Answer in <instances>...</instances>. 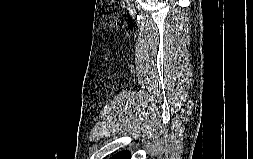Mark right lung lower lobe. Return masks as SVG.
Wrapping results in <instances>:
<instances>
[{
  "mask_svg": "<svg viewBox=\"0 0 253 159\" xmlns=\"http://www.w3.org/2000/svg\"><path fill=\"white\" fill-rule=\"evenodd\" d=\"M130 153L128 151H122L111 157L110 159H129Z\"/></svg>",
  "mask_w": 253,
  "mask_h": 159,
  "instance_id": "obj_1",
  "label": "right lung lower lobe"
}]
</instances>
